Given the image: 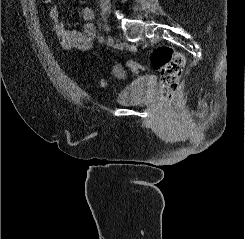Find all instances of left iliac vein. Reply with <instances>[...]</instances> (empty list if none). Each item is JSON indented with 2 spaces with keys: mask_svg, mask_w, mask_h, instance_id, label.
Here are the masks:
<instances>
[{
  "mask_svg": "<svg viewBox=\"0 0 245 239\" xmlns=\"http://www.w3.org/2000/svg\"><path fill=\"white\" fill-rule=\"evenodd\" d=\"M107 45L109 47H112L114 45V38L111 35H109L107 38Z\"/></svg>",
  "mask_w": 245,
  "mask_h": 239,
  "instance_id": "1",
  "label": "left iliac vein"
}]
</instances>
